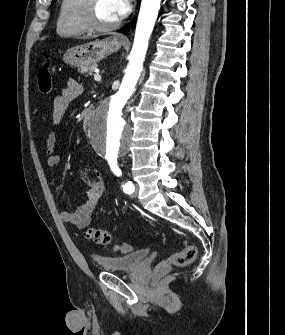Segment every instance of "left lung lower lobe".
Here are the masks:
<instances>
[{
    "label": "left lung lower lobe",
    "mask_w": 285,
    "mask_h": 335,
    "mask_svg": "<svg viewBox=\"0 0 285 335\" xmlns=\"http://www.w3.org/2000/svg\"><path fill=\"white\" fill-rule=\"evenodd\" d=\"M129 28V24H127L126 26H124L121 31H126Z\"/></svg>",
    "instance_id": "0a47b994"
}]
</instances>
